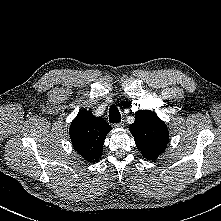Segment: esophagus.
I'll return each mask as SVG.
<instances>
[{"instance_id": "34e87169", "label": "esophagus", "mask_w": 221, "mask_h": 221, "mask_svg": "<svg viewBox=\"0 0 221 221\" xmlns=\"http://www.w3.org/2000/svg\"><path fill=\"white\" fill-rule=\"evenodd\" d=\"M124 126H125L124 122H119V123L114 124V127L116 128H122Z\"/></svg>"}]
</instances>
